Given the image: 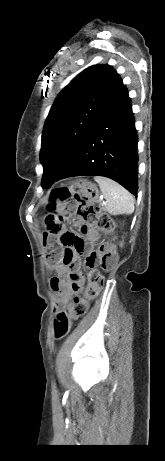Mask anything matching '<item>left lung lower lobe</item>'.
Instances as JSON below:
<instances>
[{"mask_svg": "<svg viewBox=\"0 0 165 461\" xmlns=\"http://www.w3.org/2000/svg\"><path fill=\"white\" fill-rule=\"evenodd\" d=\"M137 142L130 98L123 86L52 184L74 176H104L136 195Z\"/></svg>", "mask_w": 165, "mask_h": 461, "instance_id": "1", "label": "left lung lower lobe"}]
</instances>
